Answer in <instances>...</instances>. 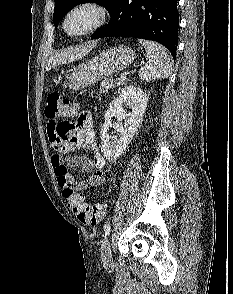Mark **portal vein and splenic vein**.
<instances>
[{
  "mask_svg": "<svg viewBox=\"0 0 233 294\" xmlns=\"http://www.w3.org/2000/svg\"><path fill=\"white\" fill-rule=\"evenodd\" d=\"M126 79V76H123V75H120L119 77H118V80L119 81H124Z\"/></svg>",
  "mask_w": 233,
  "mask_h": 294,
  "instance_id": "1",
  "label": "portal vein and splenic vein"
}]
</instances>
